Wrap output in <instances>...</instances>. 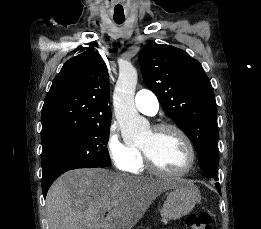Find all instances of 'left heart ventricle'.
Wrapping results in <instances>:
<instances>
[{
	"label": "left heart ventricle",
	"mask_w": 261,
	"mask_h": 229,
	"mask_svg": "<svg viewBox=\"0 0 261 229\" xmlns=\"http://www.w3.org/2000/svg\"><path fill=\"white\" fill-rule=\"evenodd\" d=\"M139 145L148 149L156 163L165 170L180 171L188 164V150L174 131H164L156 136L149 131Z\"/></svg>",
	"instance_id": "obj_1"
}]
</instances>
